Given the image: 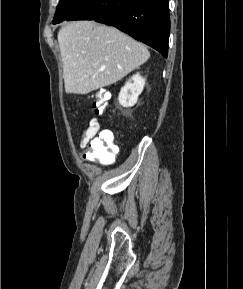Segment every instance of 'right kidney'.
Listing matches in <instances>:
<instances>
[{
    "instance_id": "obj_1",
    "label": "right kidney",
    "mask_w": 243,
    "mask_h": 289,
    "mask_svg": "<svg viewBox=\"0 0 243 289\" xmlns=\"http://www.w3.org/2000/svg\"><path fill=\"white\" fill-rule=\"evenodd\" d=\"M145 85V79L136 73L121 88L118 100L123 107H132L136 104L138 96L142 93Z\"/></svg>"
}]
</instances>
